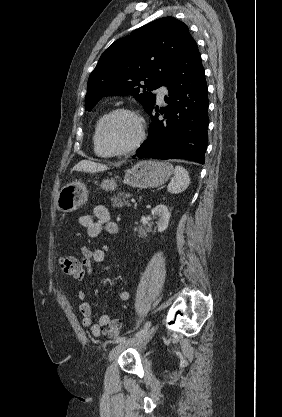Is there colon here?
Returning a JSON list of instances; mask_svg holds the SVG:
<instances>
[{
  "mask_svg": "<svg viewBox=\"0 0 282 417\" xmlns=\"http://www.w3.org/2000/svg\"><path fill=\"white\" fill-rule=\"evenodd\" d=\"M75 256H65L61 259L60 267L65 276L79 277L83 274L85 266H76ZM121 322L118 319L111 320L107 325L108 339H121Z\"/></svg>",
  "mask_w": 282,
  "mask_h": 417,
  "instance_id": "5ec220e1",
  "label": "colon"
}]
</instances>
